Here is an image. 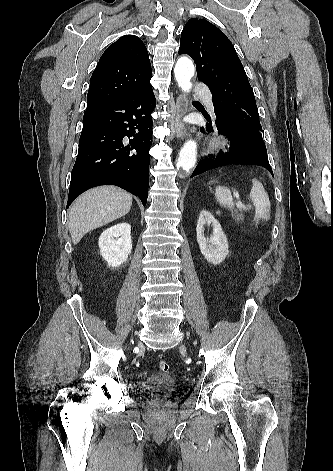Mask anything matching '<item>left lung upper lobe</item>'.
Returning a JSON list of instances; mask_svg holds the SVG:
<instances>
[{"instance_id":"obj_1","label":"left lung upper lobe","mask_w":333,"mask_h":471,"mask_svg":"<svg viewBox=\"0 0 333 471\" xmlns=\"http://www.w3.org/2000/svg\"><path fill=\"white\" fill-rule=\"evenodd\" d=\"M191 56L211 93L215 117L263 141L253 89L231 41L210 22L193 18L181 32L179 54Z\"/></svg>"}]
</instances>
